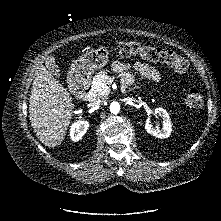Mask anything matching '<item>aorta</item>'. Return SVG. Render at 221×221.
Segmentation results:
<instances>
[{
  "label": "aorta",
  "mask_w": 221,
  "mask_h": 221,
  "mask_svg": "<svg viewBox=\"0 0 221 221\" xmlns=\"http://www.w3.org/2000/svg\"><path fill=\"white\" fill-rule=\"evenodd\" d=\"M110 111L112 114H118L120 111V104L118 102H112L110 104Z\"/></svg>",
  "instance_id": "1"
}]
</instances>
